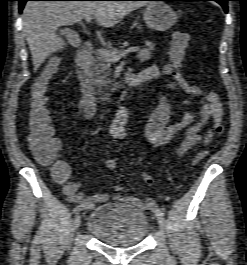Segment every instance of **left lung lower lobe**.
I'll return each mask as SVG.
<instances>
[{
  "label": "left lung lower lobe",
  "mask_w": 247,
  "mask_h": 265,
  "mask_svg": "<svg viewBox=\"0 0 247 265\" xmlns=\"http://www.w3.org/2000/svg\"><path fill=\"white\" fill-rule=\"evenodd\" d=\"M147 1H152V0H147ZM160 1H216L223 7L224 11L227 13L228 11L227 2L230 0H160Z\"/></svg>",
  "instance_id": "1"
}]
</instances>
